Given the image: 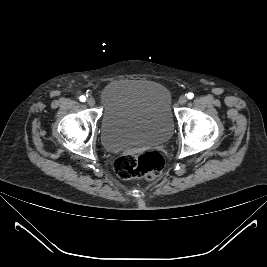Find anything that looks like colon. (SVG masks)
<instances>
[{
	"label": "colon",
	"mask_w": 267,
	"mask_h": 267,
	"mask_svg": "<svg viewBox=\"0 0 267 267\" xmlns=\"http://www.w3.org/2000/svg\"><path fill=\"white\" fill-rule=\"evenodd\" d=\"M163 156L154 151L125 154L114 162V171L122 179H147L157 177L164 168Z\"/></svg>",
	"instance_id": "colon-1"
}]
</instances>
